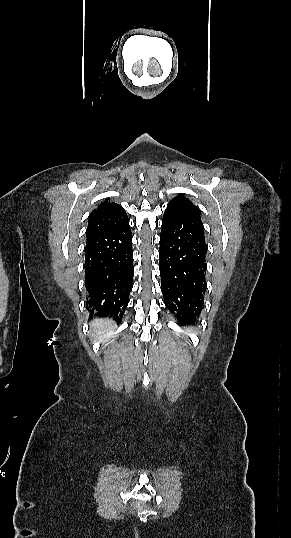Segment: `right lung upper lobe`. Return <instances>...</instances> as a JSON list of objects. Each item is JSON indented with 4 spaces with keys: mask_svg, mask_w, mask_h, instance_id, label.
I'll use <instances>...</instances> for the list:
<instances>
[{
    "mask_svg": "<svg viewBox=\"0 0 291 538\" xmlns=\"http://www.w3.org/2000/svg\"><path fill=\"white\" fill-rule=\"evenodd\" d=\"M129 221L124 208L109 199H105L97 209L93 210L88 219L86 236H92L115 227H118Z\"/></svg>",
    "mask_w": 291,
    "mask_h": 538,
    "instance_id": "1",
    "label": "right lung upper lobe"
}]
</instances>
